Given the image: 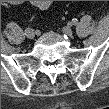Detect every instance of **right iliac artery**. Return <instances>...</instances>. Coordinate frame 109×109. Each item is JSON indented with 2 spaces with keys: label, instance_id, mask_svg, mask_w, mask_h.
Returning <instances> with one entry per match:
<instances>
[{
  "label": "right iliac artery",
  "instance_id": "right-iliac-artery-1",
  "mask_svg": "<svg viewBox=\"0 0 109 109\" xmlns=\"http://www.w3.org/2000/svg\"><path fill=\"white\" fill-rule=\"evenodd\" d=\"M29 30H32V29L28 27V28L25 30V32H26V31H29Z\"/></svg>",
  "mask_w": 109,
  "mask_h": 109
}]
</instances>
